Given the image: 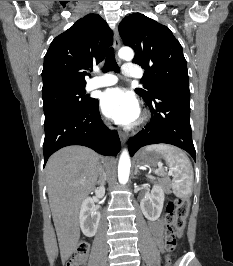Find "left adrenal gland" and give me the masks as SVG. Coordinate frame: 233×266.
I'll return each instance as SVG.
<instances>
[{"label": "left adrenal gland", "instance_id": "1", "mask_svg": "<svg viewBox=\"0 0 233 266\" xmlns=\"http://www.w3.org/2000/svg\"><path fill=\"white\" fill-rule=\"evenodd\" d=\"M139 172L138 167H135V174Z\"/></svg>", "mask_w": 233, "mask_h": 266}]
</instances>
